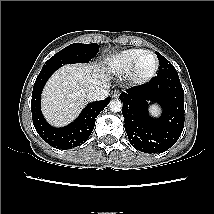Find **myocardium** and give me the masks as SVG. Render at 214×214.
Listing matches in <instances>:
<instances>
[{
	"label": "myocardium",
	"instance_id": "obj_1",
	"mask_svg": "<svg viewBox=\"0 0 214 214\" xmlns=\"http://www.w3.org/2000/svg\"><path fill=\"white\" fill-rule=\"evenodd\" d=\"M146 55H152L155 58V66L154 68L147 74H141L139 72V66L141 60ZM159 70V59L158 56L152 51H144L138 59L134 62L131 69L129 70V79L135 85H144L150 82L157 74Z\"/></svg>",
	"mask_w": 214,
	"mask_h": 214
}]
</instances>
